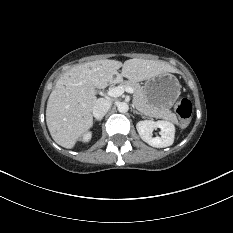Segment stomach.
I'll return each mask as SVG.
<instances>
[{"mask_svg":"<svg viewBox=\"0 0 233 233\" xmlns=\"http://www.w3.org/2000/svg\"><path fill=\"white\" fill-rule=\"evenodd\" d=\"M148 103L158 109H170L177 101L181 86L170 73H162L146 80L143 86Z\"/></svg>","mask_w":233,"mask_h":233,"instance_id":"obj_1","label":"stomach"}]
</instances>
